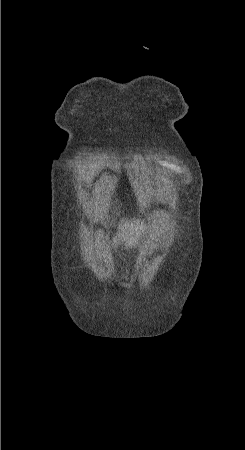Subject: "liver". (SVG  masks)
Masks as SVG:
<instances>
[{
  "label": "liver",
  "instance_id": "1",
  "mask_svg": "<svg viewBox=\"0 0 245 450\" xmlns=\"http://www.w3.org/2000/svg\"><path fill=\"white\" fill-rule=\"evenodd\" d=\"M141 231H144V225L143 223L140 225L139 220H125L118 226L116 236L113 239L114 247H118L121 242L127 249L135 247Z\"/></svg>",
  "mask_w": 245,
  "mask_h": 450
}]
</instances>
